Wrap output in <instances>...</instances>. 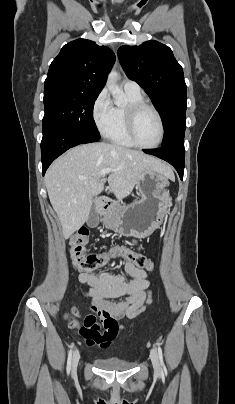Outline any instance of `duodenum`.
I'll return each instance as SVG.
<instances>
[{"mask_svg":"<svg viewBox=\"0 0 235 404\" xmlns=\"http://www.w3.org/2000/svg\"><path fill=\"white\" fill-rule=\"evenodd\" d=\"M98 208L100 214L103 216H109L110 214L114 213L113 204L106 198H101L98 200Z\"/></svg>","mask_w":235,"mask_h":404,"instance_id":"duodenum-1","label":"duodenum"}]
</instances>
